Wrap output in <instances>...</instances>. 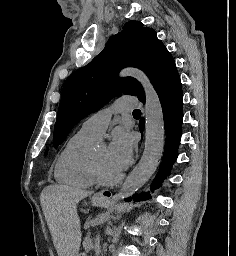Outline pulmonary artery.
<instances>
[{"instance_id": "obj_1", "label": "pulmonary artery", "mask_w": 236, "mask_h": 256, "mask_svg": "<svg viewBox=\"0 0 236 256\" xmlns=\"http://www.w3.org/2000/svg\"><path fill=\"white\" fill-rule=\"evenodd\" d=\"M117 100L114 105L116 110L100 109L83 122L80 132L98 138L104 133L112 114L125 115L128 109H137L140 105V102L136 101V96H118Z\"/></svg>"}]
</instances>
